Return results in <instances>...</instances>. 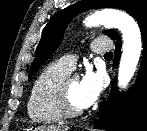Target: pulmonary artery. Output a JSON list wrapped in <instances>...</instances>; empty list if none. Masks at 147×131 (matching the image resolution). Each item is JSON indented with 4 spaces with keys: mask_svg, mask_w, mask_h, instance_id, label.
Returning a JSON list of instances; mask_svg holds the SVG:
<instances>
[{
    "mask_svg": "<svg viewBox=\"0 0 147 131\" xmlns=\"http://www.w3.org/2000/svg\"><path fill=\"white\" fill-rule=\"evenodd\" d=\"M90 48L92 52L96 54H102L110 51L112 48V43L107 38H97L92 41ZM59 62L69 71H72L75 68L76 58L72 55H66L63 56Z\"/></svg>",
    "mask_w": 147,
    "mask_h": 131,
    "instance_id": "1",
    "label": "pulmonary artery"
}]
</instances>
